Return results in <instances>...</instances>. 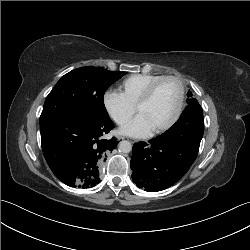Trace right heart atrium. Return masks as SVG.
I'll return each mask as SVG.
<instances>
[{
  "instance_id": "d8ad5b80",
  "label": "right heart atrium",
  "mask_w": 250,
  "mask_h": 250,
  "mask_svg": "<svg viewBox=\"0 0 250 250\" xmlns=\"http://www.w3.org/2000/svg\"><path fill=\"white\" fill-rule=\"evenodd\" d=\"M103 106L109 117L118 125L125 124L135 111V107L127 101L120 91L115 89L105 91Z\"/></svg>"
}]
</instances>
